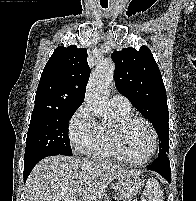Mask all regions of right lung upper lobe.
Masks as SVG:
<instances>
[{
	"instance_id": "1",
	"label": "right lung upper lobe",
	"mask_w": 196,
	"mask_h": 201,
	"mask_svg": "<svg viewBox=\"0 0 196 201\" xmlns=\"http://www.w3.org/2000/svg\"><path fill=\"white\" fill-rule=\"evenodd\" d=\"M89 76L86 49L74 45L57 47L41 74L35 106L79 107Z\"/></svg>"
}]
</instances>
